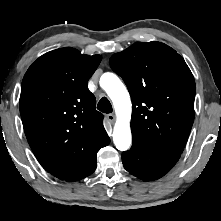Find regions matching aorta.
<instances>
[{
	"mask_svg": "<svg viewBox=\"0 0 221 221\" xmlns=\"http://www.w3.org/2000/svg\"><path fill=\"white\" fill-rule=\"evenodd\" d=\"M100 85L112 100L117 116L113 132L114 144L118 150L126 151L130 148L132 142L130 95L121 80L113 73L103 74Z\"/></svg>",
	"mask_w": 221,
	"mask_h": 221,
	"instance_id": "762f6f07",
	"label": "aorta"
}]
</instances>
